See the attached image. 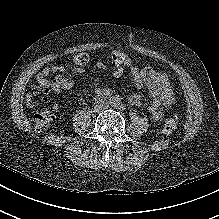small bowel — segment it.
<instances>
[{
    "label": "small bowel",
    "instance_id": "small-bowel-1",
    "mask_svg": "<svg viewBox=\"0 0 219 219\" xmlns=\"http://www.w3.org/2000/svg\"><path fill=\"white\" fill-rule=\"evenodd\" d=\"M112 61V73L115 77H120L124 73V67L129 68L130 75L137 87L145 86L152 101L149 105V111L154 120H161L164 116L166 109L170 108L175 102V93L170 85L169 77L164 72L156 71L152 66L146 65L140 67L133 63V60L121 50H113L110 54ZM82 66V65H78ZM49 68H46L43 72H49ZM52 70L61 71V67H52ZM76 72H82L81 67L74 69ZM74 85L72 79L57 76L51 83L52 90L55 94H60L63 90L71 89ZM96 93L99 95H109L110 91L105 89H96ZM130 104L143 108L145 106L143 102V95L140 92L133 93L129 97Z\"/></svg>",
    "mask_w": 219,
    "mask_h": 219
}]
</instances>
